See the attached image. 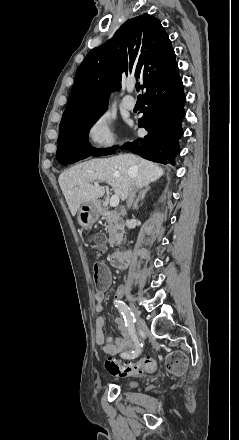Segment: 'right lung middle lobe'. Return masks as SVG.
<instances>
[{
  "instance_id": "1",
  "label": "right lung middle lobe",
  "mask_w": 239,
  "mask_h": 440,
  "mask_svg": "<svg viewBox=\"0 0 239 440\" xmlns=\"http://www.w3.org/2000/svg\"><path fill=\"white\" fill-rule=\"evenodd\" d=\"M106 109L107 107L60 123L57 151L69 146L89 145L88 131Z\"/></svg>"
}]
</instances>
